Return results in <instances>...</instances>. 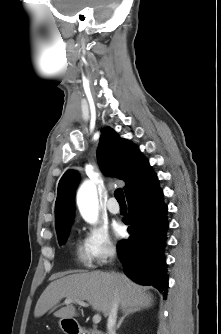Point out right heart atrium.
I'll return each instance as SVG.
<instances>
[{
  "mask_svg": "<svg viewBox=\"0 0 221 334\" xmlns=\"http://www.w3.org/2000/svg\"><path fill=\"white\" fill-rule=\"evenodd\" d=\"M83 243L89 260L97 265H103L116 253L115 243L107 228L100 223L85 228Z\"/></svg>",
  "mask_w": 221,
  "mask_h": 334,
  "instance_id": "1",
  "label": "right heart atrium"
}]
</instances>
